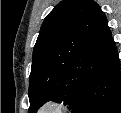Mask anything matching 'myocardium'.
<instances>
[{
	"instance_id": "f54148a6",
	"label": "myocardium",
	"mask_w": 121,
	"mask_h": 113,
	"mask_svg": "<svg viewBox=\"0 0 121 113\" xmlns=\"http://www.w3.org/2000/svg\"><path fill=\"white\" fill-rule=\"evenodd\" d=\"M66 106L56 100H47L38 108V113H62Z\"/></svg>"
}]
</instances>
